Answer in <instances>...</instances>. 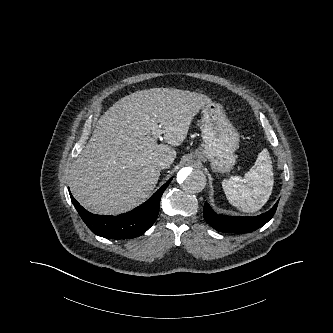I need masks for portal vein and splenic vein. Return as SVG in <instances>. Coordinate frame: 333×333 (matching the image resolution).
I'll list each match as a JSON object with an SVG mask.
<instances>
[{
    "label": "portal vein and splenic vein",
    "mask_w": 333,
    "mask_h": 333,
    "mask_svg": "<svg viewBox=\"0 0 333 333\" xmlns=\"http://www.w3.org/2000/svg\"><path fill=\"white\" fill-rule=\"evenodd\" d=\"M152 134L154 138H161L162 130L161 126L156 125L152 128Z\"/></svg>",
    "instance_id": "portal-vein-and-splenic-vein-1"
}]
</instances>
